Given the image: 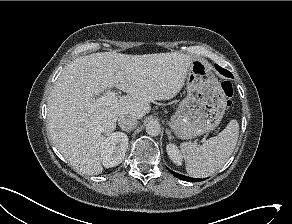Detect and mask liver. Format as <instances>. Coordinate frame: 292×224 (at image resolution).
I'll return each mask as SVG.
<instances>
[{"instance_id": "1", "label": "liver", "mask_w": 292, "mask_h": 224, "mask_svg": "<svg viewBox=\"0 0 292 224\" xmlns=\"http://www.w3.org/2000/svg\"><path fill=\"white\" fill-rule=\"evenodd\" d=\"M190 60L179 52H101L73 60L62 70L48 99V128L55 147L83 174L102 173L100 149L115 130L118 117L127 114L141 119L154 100L173 98L184 84ZM114 86L127 95L91 108L94 95Z\"/></svg>"}]
</instances>
